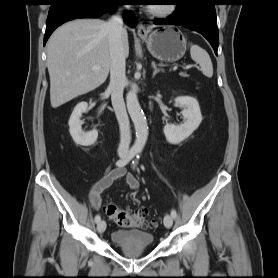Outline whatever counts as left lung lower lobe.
Here are the masks:
<instances>
[{"label": "left lung lower lobe", "mask_w": 278, "mask_h": 278, "mask_svg": "<svg viewBox=\"0 0 278 278\" xmlns=\"http://www.w3.org/2000/svg\"><path fill=\"white\" fill-rule=\"evenodd\" d=\"M215 0H183L176 2V10L166 19H155L157 25L182 26L201 33L218 50V27L214 5Z\"/></svg>", "instance_id": "1"}]
</instances>
